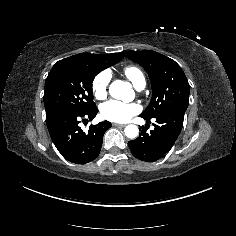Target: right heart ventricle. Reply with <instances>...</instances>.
I'll list each match as a JSON object with an SVG mask.
<instances>
[{"instance_id": "e07e8e85", "label": "right heart ventricle", "mask_w": 236, "mask_h": 236, "mask_svg": "<svg viewBox=\"0 0 236 236\" xmlns=\"http://www.w3.org/2000/svg\"><path fill=\"white\" fill-rule=\"evenodd\" d=\"M124 74L134 84V86L145 81L142 71L136 66L125 67Z\"/></svg>"}]
</instances>
